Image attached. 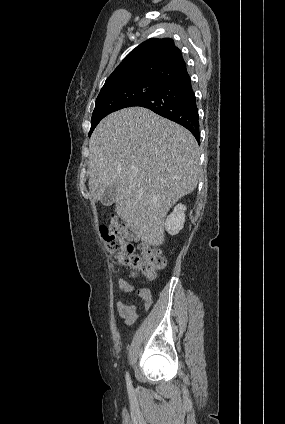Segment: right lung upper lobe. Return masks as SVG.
<instances>
[{"mask_svg": "<svg viewBox=\"0 0 285 424\" xmlns=\"http://www.w3.org/2000/svg\"><path fill=\"white\" fill-rule=\"evenodd\" d=\"M186 72L180 50L170 38H151L133 49L106 79L102 90L140 81L165 83Z\"/></svg>", "mask_w": 285, "mask_h": 424, "instance_id": "right-lung-upper-lobe-1", "label": "right lung upper lobe"}]
</instances>
